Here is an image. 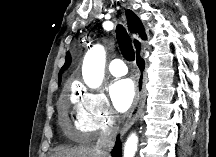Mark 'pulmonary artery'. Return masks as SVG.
<instances>
[{"instance_id":"e3ab8cb5","label":"pulmonary artery","mask_w":216,"mask_h":157,"mask_svg":"<svg viewBox=\"0 0 216 157\" xmlns=\"http://www.w3.org/2000/svg\"><path fill=\"white\" fill-rule=\"evenodd\" d=\"M109 71L113 76L121 77L127 73V67L121 59H113L109 64Z\"/></svg>"}]
</instances>
